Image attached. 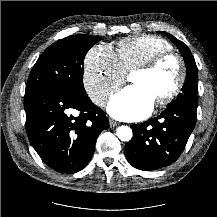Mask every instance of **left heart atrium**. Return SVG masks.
Instances as JSON below:
<instances>
[{
    "label": "left heart atrium",
    "instance_id": "obj_1",
    "mask_svg": "<svg viewBox=\"0 0 217 217\" xmlns=\"http://www.w3.org/2000/svg\"><path fill=\"white\" fill-rule=\"evenodd\" d=\"M154 100L149 93L137 85L128 86L117 92L108 103L111 116L120 120H140L152 110Z\"/></svg>",
    "mask_w": 217,
    "mask_h": 217
}]
</instances>
